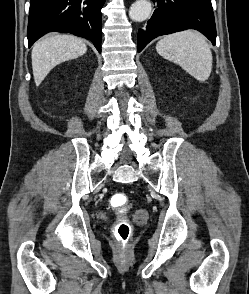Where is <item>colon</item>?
<instances>
[{
    "mask_svg": "<svg viewBox=\"0 0 249 294\" xmlns=\"http://www.w3.org/2000/svg\"><path fill=\"white\" fill-rule=\"evenodd\" d=\"M112 200L116 208L123 207L128 203V197L124 194H116ZM132 231L131 223L124 218L120 219L114 227L115 237L120 243H127L132 235Z\"/></svg>",
    "mask_w": 249,
    "mask_h": 294,
    "instance_id": "5ec220e1",
    "label": "colon"
}]
</instances>
